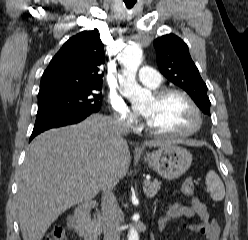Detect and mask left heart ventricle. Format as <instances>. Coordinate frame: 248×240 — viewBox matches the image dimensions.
Masks as SVG:
<instances>
[{"instance_id":"obj_1","label":"left heart ventricle","mask_w":248,"mask_h":240,"mask_svg":"<svg viewBox=\"0 0 248 240\" xmlns=\"http://www.w3.org/2000/svg\"><path fill=\"white\" fill-rule=\"evenodd\" d=\"M143 115L155 130L182 132L196 123L188 102L180 95H170L162 100L152 98Z\"/></svg>"}]
</instances>
